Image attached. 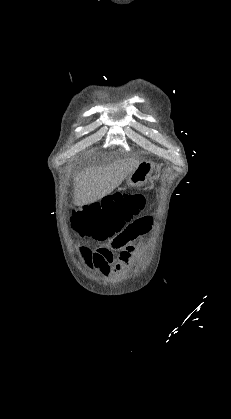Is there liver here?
Instances as JSON below:
<instances>
[{"label":"liver","mask_w":231,"mask_h":419,"mask_svg":"<svg viewBox=\"0 0 231 419\" xmlns=\"http://www.w3.org/2000/svg\"><path fill=\"white\" fill-rule=\"evenodd\" d=\"M139 164L138 159L125 158L78 173L74 179V204H91L110 194Z\"/></svg>","instance_id":"6515ba94"}]
</instances>
